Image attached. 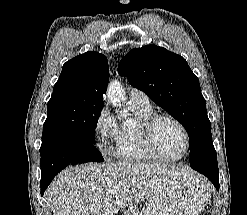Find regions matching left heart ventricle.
<instances>
[{"label":"left heart ventricle","instance_id":"obj_1","mask_svg":"<svg viewBox=\"0 0 247 215\" xmlns=\"http://www.w3.org/2000/svg\"><path fill=\"white\" fill-rule=\"evenodd\" d=\"M155 141L158 151L164 156L177 157L184 151V134L172 121L163 120L157 125Z\"/></svg>","mask_w":247,"mask_h":215}]
</instances>
